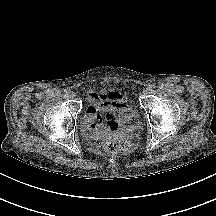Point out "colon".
Here are the masks:
<instances>
[{
	"instance_id": "colon-1",
	"label": "colon",
	"mask_w": 216,
	"mask_h": 216,
	"mask_svg": "<svg viewBox=\"0 0 216 216\" xmlns=\"http://www.w3.org/2000/svg\"><path fill=\"white\" fill-rule=\"evenodd\" d=\"M131 146L128 140L122 138H110L105 142V149L111 153L127 151Z\"/></svg>"
}]
</instances>
